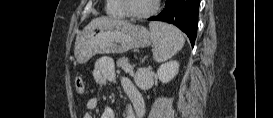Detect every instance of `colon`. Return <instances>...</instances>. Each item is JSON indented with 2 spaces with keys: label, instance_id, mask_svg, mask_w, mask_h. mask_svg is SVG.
<instances>
[{
  "label": "colon",
  "instance_id": "obj_1",
  "mask_svg": "<svg viewBox=\"0 0 273 118\" xmlns=\"http://www.w3.org/2000/svg\"><path fill=\"white\" fill-rule=\"evenodd\" d=\"M74 87L78 95H83L85 93V85L83 78L77 77L74 82Z\"/></svg>",
  "mask_w": 273,
  "mask_h": 118
}]
</instances>
